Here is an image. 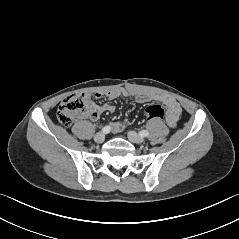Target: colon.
Returning <instances> with one entry per match:
<instances>
[{
	"label": "colon",
	"mask_w": 239,
	"mask_h": 239,
	"mask_svg": "<svg viewBox=\"0 0 239 239\" xmlns=\"http://www.w3.org/2000/svg\"><path fill=\"white\" fill-rule=\"evenodd\" d=\"M95 112V105L86 94H72L67 96L59 105L57 119L64 125H71L81 116H91ZM165 110L160 105H150L145 109V115L149 119H163Z\"/></svg>",
	"instance_id": "obj_1"
}]
</instances>
